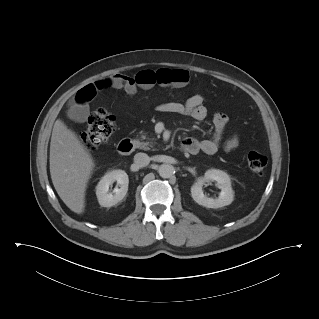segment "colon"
Segmentation results:
<instances>
[{"instance_id":"5ec220e1","label":"colon","mask_w":319,"mask_h":319,"mask_svg":"<svg viewBox=\"0 0 319 319\" xmlns=\"http://www.w3.org/2000/svg\"><path fill=\"white\" fill-rule=\"evenodd\" d=\"M115 128V118L105 110H98L88 118L87 126L81 134L82 142L89 149L96 148L108 141ZM247 162L253 173L261 174L268 159L263 153L250 151Z\"/></svg>"}]
</instances>
